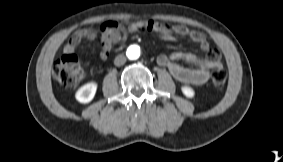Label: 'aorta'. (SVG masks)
I'll return each instance as SVG.
<instances>
[{
    "label": "aorta",
    "instance_id": "1",
    "mask_svg": "<svg viewBox=\"0 0 283 162\" xmlns=\"http://www.w3.org/2000/svg\"><path fill=\"white\" fill-rule=\"evenodd\" d=\"M127 56L132 60L138 59L140 56V48L136 45L130 46L127 49Z\"/></svg>",
    "mask_w": 283,
    "mask_h": 162
}]
</instances>
